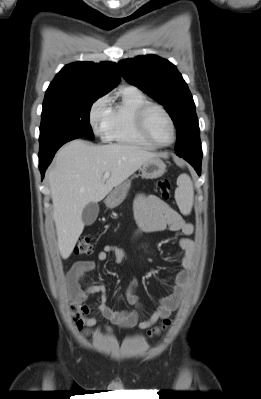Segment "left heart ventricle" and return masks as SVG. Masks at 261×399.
Here are the masks:
<instances>
[{"label":"left heart ventricle","instance_id":"left-heart-ventricle-1","mask_svg":"<svg viewBox=\"0 0 261 399\" xmlns=\"http://www.w3.org/2000/svg\"><path fill=\"white\" fill-rule=\"evenodd\" d=\"M150 136L159 143H168L172 139V130L165 115L158 109L149 111L146 117Z\"/></svg>","mask_w":261,"mask_h":399}]
</instances>
